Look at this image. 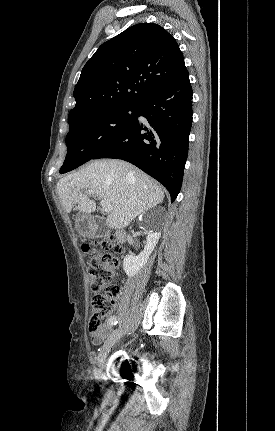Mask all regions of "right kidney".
<instances>
[{"instance_id": "obj_1", "label": "right kidney", "mask_w": 275, "mask_h": 431, "mask_svg": "<svg viewBox=\"0 0 275 431\" xmlns=\"http://www.w3.org/2000/svg\"><path fill=\"white\" fill-rule=\"evenodd\" d=\"M160 237L161 232L150 230L144 250L138 256L127 255L124 258L123 269L128 277L136 275L145 266Z\"/></svg>"}]
</instances>
